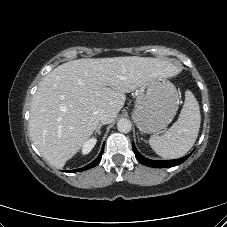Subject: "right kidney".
<instances>
[{"instance_id":"obj_1","label":"right kidney","mask_w":227,"mask_h":227,"mask_svg":"<svg viewBox=\"0 0 227 227\" xmlns=\"http://www.w3.org/2000/svg\"><path fill=\"white\" fill-rule=\"evenodd\" d=\"M96 142H97V139L94 137L87 140L82 146V154L83 155L88 154L94 148Z\"/></svg>"}]
</instances>
